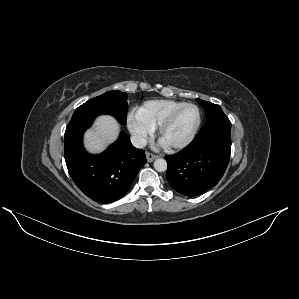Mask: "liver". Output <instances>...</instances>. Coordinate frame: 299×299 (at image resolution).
Listing matches in <instances>:
<instances>
[{"label": "liver", "mask_w": 299, "mask_h": 299, "mask_svg": "<svg viewBox=\"0 0 299 299\" xmlns=\"http://www.w3.org/2000/svg\"><path fill=\"white\" fill-rule=\"evenodd\" d=\"M119 133V124L109 116H99L92 129L86 131L84 136L85 148L91 153H99L106 145L114 142Z\"/></svg>", "instance_id": "obj_1"}]
</instances>
